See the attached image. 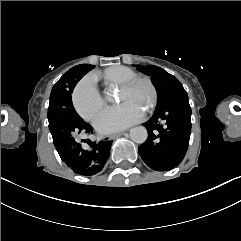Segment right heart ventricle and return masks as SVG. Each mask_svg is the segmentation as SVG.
Returning <instances> with one entry per match:
<instances>
[{
	"label": "right heart ventricle",
	"mask_w": 241,
	"mask_h": 241,
	"mask_svg": "<svg viewBox=\"0 0 241 241\" xmlns=\"http://www.w3.org/2000/svg\"><path fill=\"white\" fill-rule=\"evenodd\" d=\"M130 75H135L133 70H131L128 67L117 65V64L108 67L103 73V77L105 81L119 85L120 90L128 87V86H122V82L126 77Z\"/></svg>",
	"instance_id": "e07e8e85"
}]
</instances>
